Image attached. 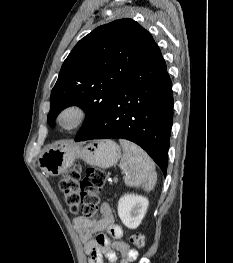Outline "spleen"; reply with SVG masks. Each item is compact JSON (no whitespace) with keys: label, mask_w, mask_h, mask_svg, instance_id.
Segmentation results:
<instances>
[{"label":"spleen","mask_w":233,"mask_h":263,"mask_svg":"<svg viewBox=\"0 0 233 263\" xmlns=\"http://www.w3.org/2000/svg\"><path fill=\"white\" fill-rule=\"evenodd\" d=\"M119 142L123 148L120 168L125 173V184L131 187H142L147 192L151 191L157 181L154 162L136 144L122 139Z\"/></svg>","instance_id":"obj_1"}]
</instances>
